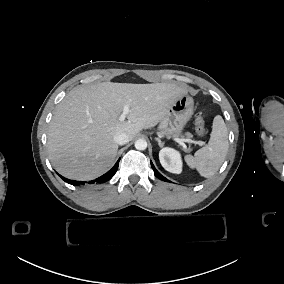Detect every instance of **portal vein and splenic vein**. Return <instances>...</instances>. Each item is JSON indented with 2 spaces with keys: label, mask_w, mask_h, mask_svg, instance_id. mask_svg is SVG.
<instances>
[{
  "label": "portal vein and splenic vein",
  "mask_w": 284,
  "mask_h": 284,
  "mask_svg": "<svg viewBox=\"0 0 284 284\" xmlns=\"http://www.w3.org/2000/svg\"><path fill=\"white\" fill-rule=\"evenodd\" d=\"M129 113H130V109H129V107H128L127 105H125V106L123 107V111H122V113H121L119 119H120L121 121H125V119H126L127 116L129 115ZM179 142L184 145V143H192L193 140H192V139H179ZM195 142H196V144H198V145H200V144L202 143L201 141H195ZM183 148H184V146H183Z\"/></svg>",
  "instance_id": "18ae733b"
}]
</instances>
